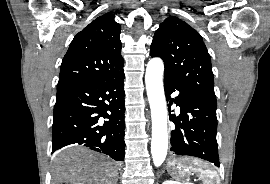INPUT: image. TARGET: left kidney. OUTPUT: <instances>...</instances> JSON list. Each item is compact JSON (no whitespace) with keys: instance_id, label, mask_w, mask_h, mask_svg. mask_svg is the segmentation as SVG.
Wrapping results in <instances>:
<instances>
[{"instance_id":"1","label":"left kidney","mask_w":270,"mask_h":184,"mask_svg":"<svg viewBox=\"0 0 270 184\" xmlns=\"http://www.w3.org/2000/svg\"><path fill=\"white\" fill-rule=\"evenodd\" d=\"M162 184H181V183L177 181L167 180V181H164Z\"/></svg>"}]
</instances>
